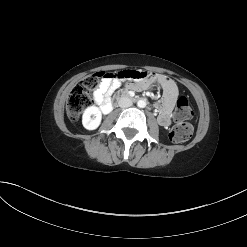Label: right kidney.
<instances>
[{
	"mask_svg": "<svg viewBox=\"0 0 247 247\" xmlns=\"http://www.w3.org/2000/svg\"><path fill=\"white\" fill-rule=\"evenodd\" d=\"M93 116V117H91ZM102 113L96 106L87 107L82 116V124L87 130H95L99 127Z\"/></svg>",
	"mask_w": 247,
	"mask_h": 247,
	"instance_id": "1",
	"label": "right kidney"
}]
</instances>
